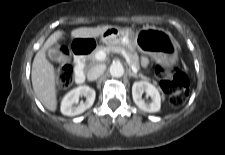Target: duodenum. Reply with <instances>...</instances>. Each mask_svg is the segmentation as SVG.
I'll return each instance as SVG.
<instances>
[{"mask_svg":"<svg viewBox=\"0 0 225 155\" xmlns=\"http://www.w3.org/2000/svg\"><path fill=\"white\" fill-rule=\"evenodd\" d=\"M92 50L93 46L87 42H78L73 48L75 55V81L77 83H83L85 80V61Z\"/></svg>","mask_w":225,"mask_h":155,"instance_id":"1","label":"duodenum"}]
</instances>
